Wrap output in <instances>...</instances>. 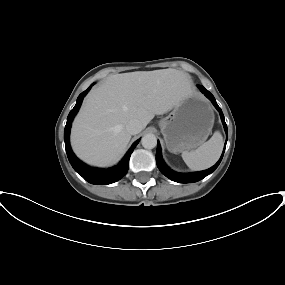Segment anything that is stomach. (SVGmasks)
I'll return each mask as SVG.
<instances>
[{
	"label": "stomach",
	"mask_w": 285,
	"mask_h": 285,
	"mask_svg": "<svg viewBox=\"0 0 285 285\" xmlns=\"http://www.w3.org/2000/svg\"><path fill=\"white\" fill-rule=\"evenodd\" d=\"M213 123L214 113L209 102L201 95L192 94L161 119L159 127L167 149L179 153L202 145L207 140Z\"/></svg>",
	"instance_id": "1"
}]
</instances>
